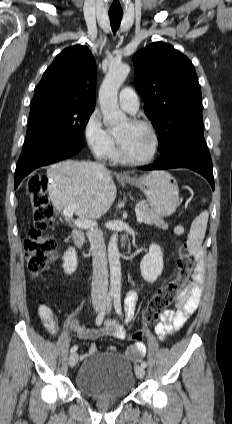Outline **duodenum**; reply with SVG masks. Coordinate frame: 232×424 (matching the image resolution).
<instances>
[{"label":"duodenum","instance_id":"1","mask_svg":"<svg viewBox=\"0 0 232 424\" xmlns=\"http://www.w3.org/2000/svg\"><path fill=\"white\" fill-rule=\"evenodd\" d=\"M72 237H73V240H74L76 246L85 255V251H84V233L81 230H74L73 233H72Z\"/></svg>","mask_w":232,"mask_h":424}]
</instances>
